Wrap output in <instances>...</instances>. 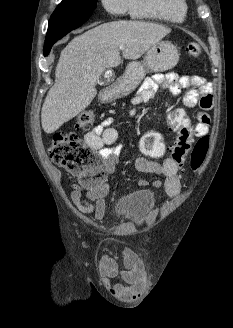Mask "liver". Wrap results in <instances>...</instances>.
Wrapping results in <instances>:
<instances>
[{"instance_id":"liver-1","label":"liver","mask_w":233,"mask_h":328,"mask_svg":"<svg viewBox=\"0 0 233 328\" xmlns=\"http://www.w3.org/2000/svg\"><path fill=\"white\" fill-rule=\"evenodd\" d=\"M171 29L142 21H113L75 37L61 51L55 70V84L41 111L42 128L48 134L58 130L86 109L97 94L102 73L124 59H138Z\"/></svg>"}]
</instances>
